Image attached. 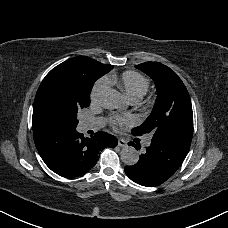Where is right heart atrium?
Segmentation results:
<instances>
[{
    "label": "right heart atrium",
    "mask_w": 228,
    "mask_h": 228,
    "mask_svg": "<svg viewBox=\"0 0 228 228\" xmlns=\"http://www.w3.org/2000/svg\"><path fill=\"white\" fill-rule=\"evenodd\" d=\"M107 94L105 85L100 83L96 85L91 94L92 102H99L104 99L105 95Z\"/></svg>",
    "instance_id": "right-heart-atrium-1"
}]
</instances>
